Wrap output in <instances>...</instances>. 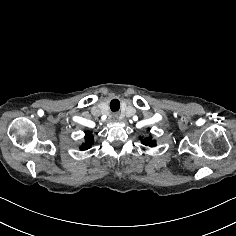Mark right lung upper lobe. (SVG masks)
<instances>
[{"instance_id":"1","label":"right lung upper lobe","mask_w":236,"mask_h":236,"mask_svg":"<svg viewBox=\"0 0 236 236\" xmlns=\"http://www.w3.org/2000/svg\"><path fill=\"white\" fill-rule=\"evenodd\" d=\"M92 144H93V135H92L91 132L86 131V133H85V143L82 144V146L80 147V149H81V150L89 149Z\"/></svg>"}]
</instances>
